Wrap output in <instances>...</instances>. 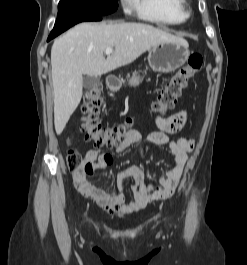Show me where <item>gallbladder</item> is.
<instances>
[{
    "instance_id": "gallbladder-1",
    "label": "gallbladder",
    "mask_w": 247,
    "mask_h": 265,
    "mask_svg": "<svg viewBox=\"0 0 247 265\" xmlns=\"http://www.w3.org/2000/svg\"><path fill=\"white\" fill-rule=\"evenodd\" d=\"M99 81H100L99 77L85 76L83 78V87L85 89H91L96 85H98Z\"/></svg>"
}]
</instances>
